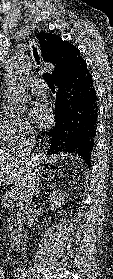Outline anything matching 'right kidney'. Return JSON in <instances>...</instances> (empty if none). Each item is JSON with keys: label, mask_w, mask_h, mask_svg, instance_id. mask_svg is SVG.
<instances>
[{"label": "right kidney", "mask_w": 113, "mask_h": 279, "mask_svg": "<svg viewBox=\"0 0 113 279\" xmlns=\"http://www.w3.org/2000/svg\"><path fill=\"white\" fill-rule=\"evenodd\" d=\"M48 199L52 208L61 207V204L64 203L65 193L59 192V190H54L50 193ZM59 213L61 214V212Z\"/></svg>", "instance_id": "right-kidney-1"}]
</instances>
